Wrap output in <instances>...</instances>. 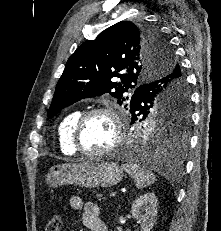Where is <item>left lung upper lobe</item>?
Returning a JSON list of instances; mask_svg holds the SVG:
<instances>
[{
	"label": "left lung upper lobe",
	"instance_id": "left-lung-upper-lobe-1",
	"mask_svg": "<svg viewBox=\"0 0 221 231\" xmlns=\"http://www.w3.org/2000/svg\"><path fill=\"white\" fill-rule=\"evenodd\" d=\"M174 61L167 39L157 28L120 21L101 32L95 40L84 42L69 57L47 116H55L82 98L105 93L116 97L121 105L126 100L123 94L135 88L142 78H162L175 70L180 72L179 64ZM113 77L120 78V82H114ZM173 92L156 94L139 106L131 100L132 123L154 116L157 126L153 133L156 135L164 136L166 130H171L172 138L186 136L189 95L179 85ZM173 95L188 101L180 108L174 107L169 102Z\"/></svg>",
	"mask_w": 221,
	"mask_h": 231
}]
</instances>
